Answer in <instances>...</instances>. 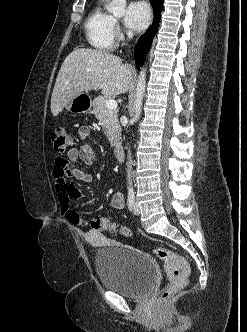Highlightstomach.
<instances>
[{
  "instance_id": "1",
  "label": "stomach",
  "mask_w": 247,
  "mask_h": 332,
  "mask_svg": "<svg viewBox=\"0 0 247 332\" xmlns=\"http://www.w3.org/2000/svg\"><path fill=\"white\" fill-rule=\"evenodd\" d=\"M92 105L91 97L87 94L80 93L65 105V109L69 112H81L90 110Z\"/></svg>"
}]
</instances>
